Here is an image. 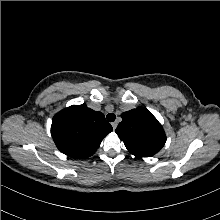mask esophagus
<instances>
[{"label":"esophagus","mask_w":220,"mask_h":220,"mask_svg":"<svg viewBox=\"0 0 220 220\" xmlns=\"http://www.w3.org/2000/svg\"><path fill=\"white\" fill-rule=\"evenodd\" d=\"M117 125H118V122H117V121H115V122L112 123V127H113L114 130L116 129Z\"/></svg>","instance_id":"1"}]
</instances>
